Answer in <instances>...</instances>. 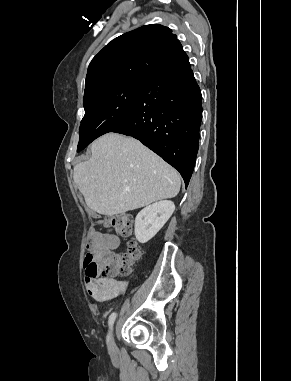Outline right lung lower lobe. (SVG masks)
I'll return each instance as SVG.
<instances>
[{"label": "right lung lower lobe", "instance_id": "obj_1", "mask_svg": "<svg viewBox=\"0 0 291 381\" xmlns=\"http://www.w3.org/2000/svg\"><path fill=\"white\" fill-rule=\"evenodd\" d=\"M202 97L183 52L144 81L130 119L112 132L141 141L176 168L188 186L199 145Z\"/></svg>", "mask_w": 291, "mask_h": 381}]
</instances>
